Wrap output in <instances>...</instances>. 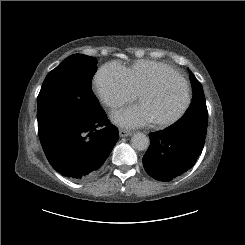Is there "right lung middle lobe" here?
I'll return each mask as SVG.
<instances>
[{"mask_svg": "<svg viewBox=\"0 0 245 245\" xmlns=\"http://www.w3.org/2000/svg\"><path fill=\"white\" fill-rule=\"evenodd\" d=\"M96 63L91 56L73 54L48 73L37 98L39 134L102 111L91 91Z\"/></svg>", "mask_w": 245, "mask_h": 245, "instance_id": "dd1d6c3e", "label": "right lung middle lobe"}]
</instances>
